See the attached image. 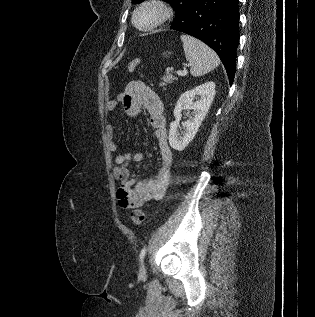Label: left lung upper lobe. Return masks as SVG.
Wrapping results in <instances>:
<instances>
[{
	"label": "left lung upper lobe",
	"mask_w": 315,
	"mask_h": 317,
	"mask_svg": "<svg viewBox=\"0 0 315 317\" xmlns=\"http://www.w3.org/2000/svg\"><path fill=\"white\" fill-rule=\"evenodd\" d=\"M144 0H132L133 4L140 3ZM168 2L169 4L172 5V7L175 10L176 17L173 21V23L178 22L185 14L186 9L189 7V5L194 1V0H164Z\"/></svg>",
	"instance_id": "1"
}]
</instances>
